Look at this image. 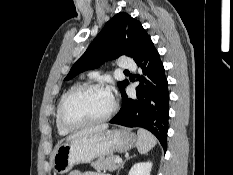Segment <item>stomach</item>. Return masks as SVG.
Wrapping results in <instances>:
<instances>
[{
    "label": "stomach",
    "instance_id": "stomach-1",
    "mask_svg": "<svg viewBox=\"0 0 233 175\" xmlns=\"http://www.w3.org/2000/svg\"><path fill=\"white\" fill-rule=\"evenodd\" d=\"M137 144L131 131L103 130L58 144L53 154V169L58 174L69 172L75 164L88 163L97 157L110 156L114 152H126Z\"/></svg>",
    "mask_w": 233,
    "mask_h": 175
}]
</instances>
